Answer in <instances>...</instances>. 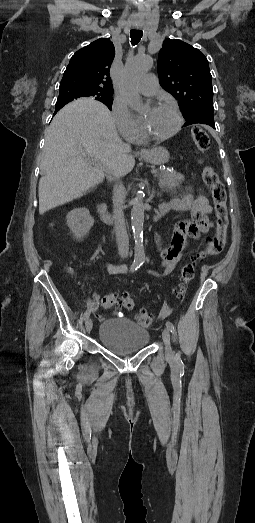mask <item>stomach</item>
I'll list each match as a JSON object with an SVG mask.
<instances>
[{"instance_id": "1", "label": "stomach", "mask_w": 255, "mask_h": 523, "mask_svg": "<svg viewBox=\"0 0 255 523\" xmlns=\"http://www.w3.org/2000/svg\"><path fill=\"white\" fill-rule=\"evenodd\" d=\"M140 156L142 160L149 162V164H154V166H161V164H166L169 160L167 150L161 148V146H156L152 150H142Z\"/></svg>"}]
</instances>
